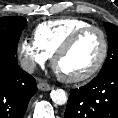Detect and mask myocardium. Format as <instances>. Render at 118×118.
Masks as SVG:
<instances>
[{"label":"myocardium","instance_id":"f54148a6","mask_svg":"<svg viewBox=\"0 0 118 118\" xmlns=\"http://www.w3.org/2000/svg\"><path fill=\"white\" fill-rule=\"evenodd\" d=\"M95 31L97 32L102 40V53L96 62V64L86 73L74 76V77H66L62 76L59 73V77L67 82V83H78V82H83L86 81L90 78H92L94 75H96L99 70L102 68L104 65L106 58L108 56L109 52V41L108 37L103 29H101L98 26L90 25L84 28L79 29L75 33H73L62 45L58 47V49L53 53L52 59H51V64L55 70L56 69V63L59 60L60 57H62L64 54H66L71 48L87 33Z\"/></svg>","mask_w":118,"mask_h":118}]
</instances>
